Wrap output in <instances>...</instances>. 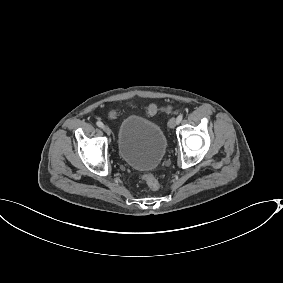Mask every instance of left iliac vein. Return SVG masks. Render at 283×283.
Here are the masks:
<instances>
[{
	"label": "left iliac vein",
	"mask_w": 283,
	"mask_h": 283,
	"mask_svg": "<svg viewBox=\"0 0 283 283\" xmlns=\"http://www.w3.org/2000/svg\"><path fill=\"white\" fill-rule=\"evenodd\" d=\"M176 125H177V120H176V118H171V119L169 120V122H168V126H169L170 128H174Z\"/></svg>",
	"instance_id": "1"
}]
</instances>
